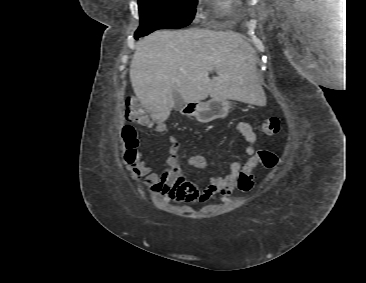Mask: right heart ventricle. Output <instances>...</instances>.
Masks as SVG:
<instances>
[{"instance_id": "1", "label": "right heart ventricle", "mask_w": 366, "mask_h": 283, "mask_svg": "<svg viewBox=\"0 0 366 283\" xmlns=\"http://www.w3.org/2000/svg\"><path fill=\"white\" fill-rule=\"evenodd\" d=\"M215 4L219 10L227 12L235 8L236 0H215Z\"/></svg>"}]
</instances>
